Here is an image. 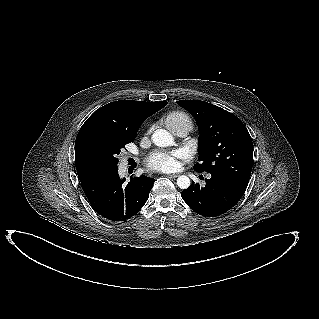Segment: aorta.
<instances>
[{"label":"aorta","mask_w":319,"mask_h":319,"mask_svg":"<svg viewBox=\"0 0 319 319\" xmlns=\"http://www.w3.org/2000/svg\"><path fill=\"white\" fill-rule=\"evenodd\" d=\"M152 141L159 147H167L174 143L172 135L164 129H158L152 134ZM177 185L181 189H187L190 186V179L186 175L177 178Z\"/></svg>","instance_id":"1"}]
</instances>
